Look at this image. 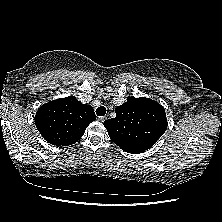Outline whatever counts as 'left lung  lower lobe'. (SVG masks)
I'll return each instance as SVG.
<instances>
[{"label": "left lung lower lobe", "instance_id": "obj_1", "mask_svg": "<svg viewBox=\"0 0 222 222\" xmlns=\"http://www.w3.org/2000/svg\"><path fill=\"white\" fill-rule=\"evenodd\" d=\"M129 153H133V154H138V153H142L144 151H141V150H134V151H127Z\"/></svg>", "mask_w": 222, "mask_h": 222}]
</instances>
